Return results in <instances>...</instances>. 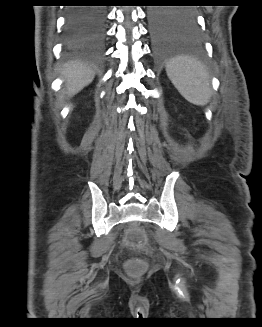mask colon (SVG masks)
Masks as SVG:
<instances>
[{"label": "colon", "instance_id": "colon-1", "mask_svg": "<svg viewBox=\"0 0 262 327\" xmlns=\"http://www.w3.org/2000/svg\"><path fill=\"white\" fill-rule=\"evenodd\" d=\"M127 240H128V242H134L137 245H143V244L146 243L145 235L139 229L131 231L128 234ZM127 267H128V271L131 274L136 275V274L140 273L143 270L144 265L142 263H140V262H129Z\"/></svg>", "mask_w": 262, "mask_h": 327}]
</instances>
